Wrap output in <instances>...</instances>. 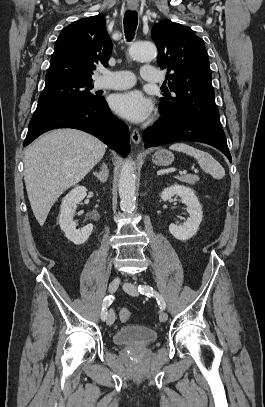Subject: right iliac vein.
<instances>
[{
	"label": "right iliac vein",
	"mask_w": 265,
	"mask_h": 407,
	"mask_svg": "<svg viewBox=\"0 0 265 407\" xmlns=\"http://www.w3.org/2000/svg\"><path fill=\"white\" fill-rule=\"evenodd\" d=\"M120 280L118 278H115L111 281V283L109 284L108 290L110 293H114L119 286ZM115 320V314L112 310H110L107 314V318H106V323L107 325H112L114 323Z\"/></svg>",
	"instance_id": "right-iliac-vein-1"
}]
</instances>
